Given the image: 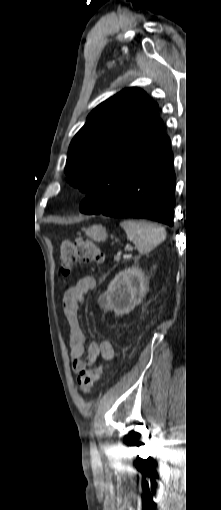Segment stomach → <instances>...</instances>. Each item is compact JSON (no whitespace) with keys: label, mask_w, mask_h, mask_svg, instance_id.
Here are the masks:
<instances>
[{"label":"stomach","mask_w":221,"mask_h":510,"mask_svg":"<svg viewBox=\"0 0 221 510\" xmlns=\"http://www.w3.org/2000/svg\"><path fill=\"white\" fill-rule=\"evenodd\" d=\"M84 231L88 237L96 242L105 241L108 236L106 229L101 225H92L84 229Z\"/></svg>","instance_id":"obj_1"}]
</instances>
